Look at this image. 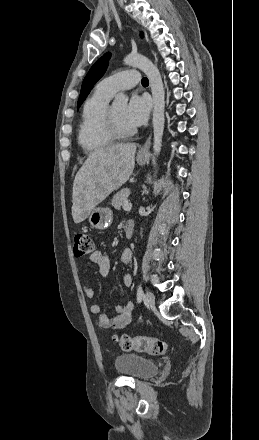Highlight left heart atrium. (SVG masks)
Listing matches in <instances>:
<instances>
[{
    "instance_id": "1",
    "label": "left heart atrium",
    "mask_w": 259,
    "mask_h": 440,
    "mask_svg": "<svg viewBox=\"0 0 259 440\" xmlns=\"http://www.w3.org/2000/svg\"><path fill=\"white\" fill-rule=\"evenodd\" d=\"M151 103L148 97L134 94L126 105L125 117L133 127L143 125L149 116Z\"/></svg>"
}]
</instances>
